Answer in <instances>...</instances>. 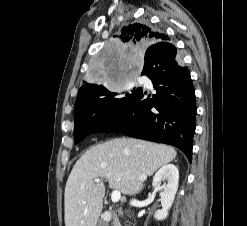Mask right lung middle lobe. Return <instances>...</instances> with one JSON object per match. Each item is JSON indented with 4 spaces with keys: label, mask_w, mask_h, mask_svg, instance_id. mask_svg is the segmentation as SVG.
<instances>
[{
    "label": "right lung middle lobe",
    "mask_w": 247,
    "mask_h": 226,
    "mask_svg": "<svg viewBox=\"0 0 247 226\" xmlns=\"http://www.w3.org/2000/svg\"><path fill=\"white\" fill-rule=\"evenodd\" d=\"M90 95L75 103V143H79L90 133H94L97 125L113 112L124 101L128 93L114 92L100 86Z\"/></svg>",
    "instance_id": "dd1d6c3e"
}]
</instances>
